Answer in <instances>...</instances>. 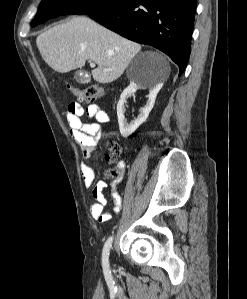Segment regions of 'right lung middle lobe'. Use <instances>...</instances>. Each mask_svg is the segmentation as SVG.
I'll use <instances>...</instances> for the list:
<instances>
[{
    "instance_id": "dd1d6c3e",
    "label": "right lung middle lobe",
    "mask_w": 247,
    "mask_h": 299,
    "mask_svg": "<svg viewBox=\"0 0 247 299\" xmlns=\"http://www.w3.org/2000/svg\"><path fill=\"white\" fill-rule=\"evenodd\" d=\"M123 0H42L31 25L36 26L60 15H88L115 6Z\"/></svg>"
}]
</instances>
